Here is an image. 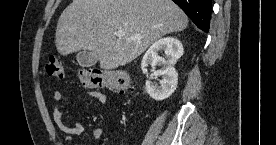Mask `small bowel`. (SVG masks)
Listing matches in <instances>:
<instances>
[{
    "mask_svg": "<svg viewBox=\"0 0 276 145\" xmlns=\"http://www.w3.org/2000/svg\"><path fill=\"white\" fill-rule=\"evenodd\" d=\"M88 96L98 100L102 105L106 106L108 104V98L105 94L92 91L87 93ZM63 99V94L60 91H55L53 93V100L56 103L53 109V120L56 126L65 134V141L70 143L73 136L80 135L84 131V126L80 122L67 123L63 116V111L61 108V101ZM104 135V131L101 128H94L90 131V136L94 139H100Z\"/></svg>",
    "mask_w": 276,
    "mask_h": 145,
    "instance_id": "1",
    "label": "small bowel"
}]
</instances>
